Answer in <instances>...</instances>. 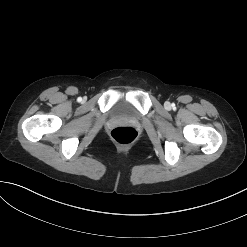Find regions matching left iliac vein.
<instances>
[{
  "label": "left iliac vein",
  "mask_w": 247,
  "mask_h": 247,
  "mask_svg": "<svg viewBox=\"0 0 247 247\" xmlns=\"http://www.w3.org/2000/svg\"><path fill=\"white\" fill-rule=\"evenodd\" d=\"M165 107H166V108H170V103H169V102H166V103H165Z\"/></svg>",
  "instance_id": "obj_1"
}]
</instances>
